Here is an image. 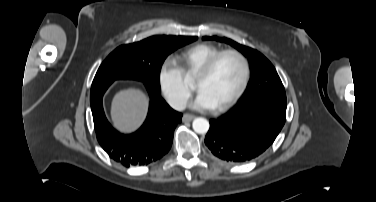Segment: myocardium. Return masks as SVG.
I'll return each mask as SVG.
<instances>
[{
    "mask_svg": "<svg viewBox=\"0 0 376 202\" xmlns=\"http://www.w3.org/2000/svg\"><path fill=\"white\" fill-rule=\"evenodd\" d=\"M226 55L235 56L241 62V65H242V68H243V75H242L241 83H240L238 89L236 90V92L225 103H223L220 106L215 107V110L218 111V112H222V111L229 109L231 106H233L235 104V102L244 93V91H245V89L248 85V82H249V79H250V72H251L250 63H249L248 58L242 52H240L236 49L221 50L220 52H218L217 54L212 56L210 59H208L206 61V63L201 67V69L198 71V73L195 76L196 81L202 80V79L208 77L212 73V71H213L215 65L217 64V62L223 56H226Z\"/></svg>",
    "mask_w": 376,
    "mask_h": 202,
    "instance_id": "obj_1",
    "label": "myocardium"
}]
</instances>
